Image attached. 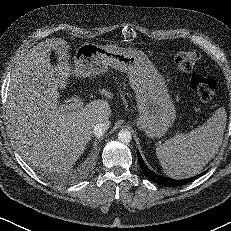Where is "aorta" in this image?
<instances>
[{"instance_id": "1", "label": "aorta", "mask_w": 231, "mask_h": 231, "mask_svg": "<svg viewBox=\"0 0 231 231\" xmlns=\"http://www.w3.org/2000/svg\"><path fill=\"white\" fill-rule=\"evenodd\" d=\"M132 139V135L128 130H121L118 133V140L122 143H129Z\"/></svg>"}]
</instances>
